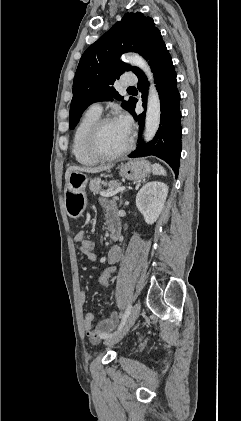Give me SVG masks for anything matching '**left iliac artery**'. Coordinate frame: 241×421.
I'll return each mask as SVG.
<instances>
[{
	"label": "left iliac artery",
	"mask_w": 241,
	"mask_h": 421,
	"mask_svg": "<svg viewBox=\"0 0 241 421\" xmlns=\"http://www.w3.org/2000/svg\"><path fill=\"white\" fill-rule=\"evenodd\" d=\"M131 308H132V306H131V304H129L127 306V308H126V311H125V313H124V315L122 317L121 323H120L119 328L117 329V331H115L112 334H108V335L104 336L105 339L111 338L112 336L118 334L122 330V328L124 327V325H125V323L127 321V318L129 317V314L131 312Z\"/></svg>",
	"instance_id": "left-iliac-artery-1"
}]
</instances>
